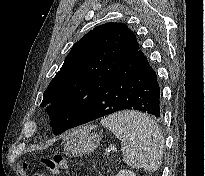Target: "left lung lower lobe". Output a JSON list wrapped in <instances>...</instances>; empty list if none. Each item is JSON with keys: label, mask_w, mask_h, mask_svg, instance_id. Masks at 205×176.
<instances>
[{"label": "left lung lower lobe", "mask_w": 205, "mask_h": 176, "mask_svg": "<svg viewBox=\"0 0 205 176\" xmlns=\"http://www.w3.org/2000/svg\"><path fill=\"white\" fill-rule=\"evenodd\" d=\"M125 109L161 116L157 76L139 49L102 85L71 128Z\"/></svg>", "instance_id": "0a47b994"}]
</instances>
